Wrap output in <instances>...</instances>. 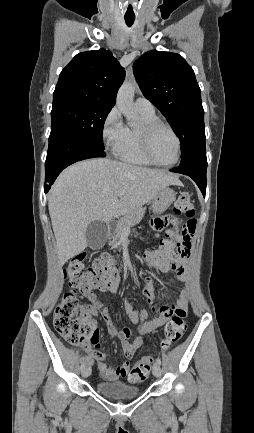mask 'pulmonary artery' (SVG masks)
Here are the masks:
<instances>
[{
    "mask_svg": "<svg viewBox=\"0 0 254 433\" xmlns=\"http://www.w3.org/2000/svg\"><path fill=\"white\" fill-rule=\"evenodd\" d=\"M135 103H136L137 109L140 112H145V113H154L155 112L153 104L148 99H146L144 97L137 98Z\"/></svg>",
    "mask_w": 254,
    "mask_h": 433,
    "instance_id": "obj_1",
    "label": "pulmonary artery"
}]
</instances>
